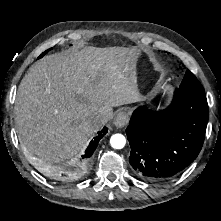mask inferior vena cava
Masks as SVG:
<instances>
[{
    "instance_id": "inferior-vena-cava-1",
    "label": "inferior vena cava",
    "mask_w": 221,
    "mask_h": 221,
    "mask_svg": "<svg viewBox=\"0 0 221 221\" xmlns=\"http://www.w3.org/2000/svg\"><path fill=\"white\" fill-rule=\"evenodd\" d=\"M89 123L95 130L100 129L105 123V117L100 113H94L89 118Z\"/></svg>"
}]
</instances>
